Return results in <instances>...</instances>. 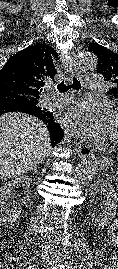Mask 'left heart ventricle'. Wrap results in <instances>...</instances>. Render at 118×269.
<instances>
[{
  "instance_id": "left-heart-ventricle-1",
  "label": "left heart ventricle",
  "mask_w": 118,
  "mask_h": 269,
  "mask_svg": "<svg viewBox=\"0 0 118 269\" xmlns=\"http://www.w3.org/2000/svg\"><path fill=\"white\" fill-rule=\"evenodd\" d=\"M111 140H118V116L113 113L109 133L107 135Z\"/></svg>"
}]
</instances>
